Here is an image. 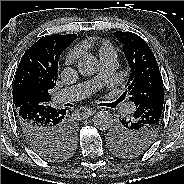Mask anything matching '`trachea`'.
<instances>
[{"label": "trachea", "mask_w": 184, "mask_h": 184, "mask_svg": "<svg viewBox=\"0 0 184 184\" xmlns=\"http://www.w3.org/2000/svg\"><path fill=\"white\" fill-rule=\"evenodd\" d=\"M119 102L120 101H116V102H113V103H104L103 105L107 106V107L115 108Z\"/></svg>", "instance_id": "3493384b"}]
</instances>
